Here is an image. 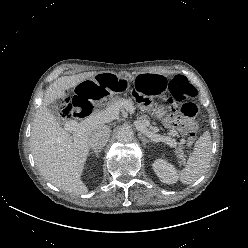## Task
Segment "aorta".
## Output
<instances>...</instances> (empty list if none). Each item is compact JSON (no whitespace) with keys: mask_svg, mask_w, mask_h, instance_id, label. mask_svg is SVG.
Instances as JSON below:
<instances>
[{"mask_svg":"<svg viewBox=\"0 0 248 248\" xmlns=\"http://www.w3.org/2000/svg\"><path fill=\"white\" fill-rule=\"evenodd\" d=\"M133 138H134V132L128 126H122L116 132V139L120 143H129L133 140Z\"/></svg>","mask_w":248,"mask_h":248,"instance_id":"aorta-1","label":"aorta"}]
</instances>
